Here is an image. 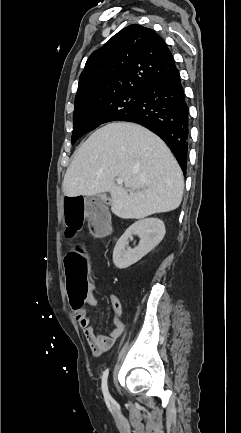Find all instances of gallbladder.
Wrapping results in <instances>:
<instances>
[{
	"label": "gallbladder",
	"mask_w": 241,
	"mask_h": 433,
	"mask_svg": "<svg viewBox=\"0 0 241 433\" xmlns=\"http://www.w3.org/2000/svg\"><path fill=\"white\" fill-rule=\"evenodd\" d=\"M108 200V197L105 193L97 194L95 197H89L87 199V203L89 204L87 207L89 212H93L95 214H99L101 211L107 213V207L102 204V202H106ZM97 202V206L95 208H92L91 204L92 202Z\"/></svg>",
	"instance_id": "1"
}]
</instances>
